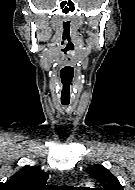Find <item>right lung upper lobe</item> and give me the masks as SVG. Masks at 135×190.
<instances>
[{"label": "right lung upper lobe", "mask_w": 135, "mask_h": 190, "mask_svg": "<svg viewBox=\"0 0 135 190\" xmlns=\"http://www.w3.org/2000/svg\"><path fill=\"white\" fill-rule=\"evenodd\" d=\"M48 174L37 166H25L6 183H0V189L7 190H48Z\"/></svg>", "instance_id": "right-lung-upper-lobe-1"}]
</instances>
